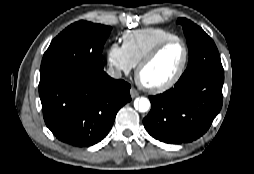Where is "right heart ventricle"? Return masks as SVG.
<instances>
[{
	"instance_id": "obj_1",
	"label": "right heart ventricle",
	"mask_w": 254,
	"mask_h": 174,
	"mask_svg": "<svg viewBox=\"0 0 254 174\" xmlns=\"http://www.w3.org/2000/svg\"><path fill=\"white\" fill-rule=\"evenodd\" d=\"M174 37L175 33L164 28H142L125 31L121 39L128 58L136 66L155 45Z\"/></svg>"
}]
</instances>
